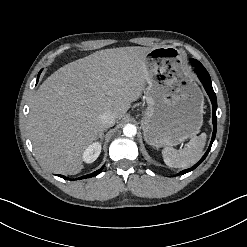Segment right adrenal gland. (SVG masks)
<instances>
[{
  "mask_svg": "<svg viewBox=\"0 0 247 247\" xmlns=\"http://www.w3.org/2000/svg\"><path fill=\"white\" fill-rule=\"evenodd\" d=\"M104 131L105 129H101L100 133H99V138L102 140L104 137Z\"/></svg>",
  "mask_w": 247,
  "mask_h": 247,
  "instance_id": "1",
  "label": "right adrenal gland"
}]
</instances>
